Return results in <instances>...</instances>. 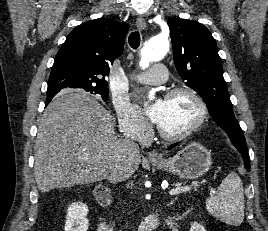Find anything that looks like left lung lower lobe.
<instances>
[{
	"instance_id": "0a47b994",
	"label": "left lung lower lobe",
	"mask_w": 268,
	"mask_h": 231,
	"mask_svg": "<svg viewBox=\"0 0 268 231\" xmlns=\"http://www.w3.org/2000/svg\"><path fill=\"white\" fill-rule=\"evenodd\" d=\"M176 145H178V143L172 144L171 146L168 147V149H172ZM238 151L241 153L243 160H244V163H245V168L249 172L250 171V161H249V155L247 153V150L240 149Z\"/></svg>"
}]
</instances>
